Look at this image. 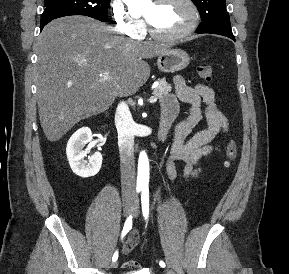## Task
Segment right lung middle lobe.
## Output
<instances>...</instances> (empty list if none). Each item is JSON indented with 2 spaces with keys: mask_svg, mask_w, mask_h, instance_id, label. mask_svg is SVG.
Listing matches in <instances>:
<instances>
[{
  "mask_svg": "<svg viewBox=\"0 0 289 274\" xmlns=\"http://www.w3.org/2000/svg\"><path fill=\"white\" fill-rule=\"evenodd\" d=\"M109 3L110 0H44L41 22L70 15H85L105 22Z\"/></svg>",
  "mask_w": 289,
  "mask_h": 274,
  "instance_id": "1",
  "label": "right lung middle lobe"
}]
</instances>
